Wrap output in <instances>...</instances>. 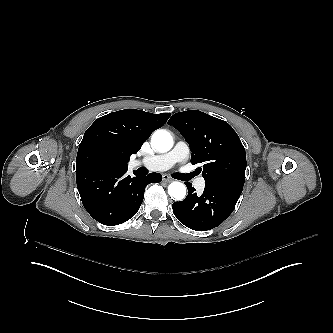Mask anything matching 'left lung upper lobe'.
I'll use <instances>...</instances> for the list:
<instances>
[{
  "instance_id": "obj_1",
  "label": "left lung upper lobe",
  "mask_w": 333,
  "mask_h": 333,
  "mask_svg": "<svg viewBox=\"0 0 333 333\" xmlns=\"http://www.w3.org/2000/svg\"><path fill=\"white\" fill-rule=\"evenodd\" d=\"M188 142L191 163H202L207 186L241 190L245 182L246 154L239 136L225 121L197 110L174 114L168 121Z\"/></svg>"
}]
</instances>
